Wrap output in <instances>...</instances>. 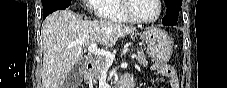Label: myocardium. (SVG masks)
Segmentation results:
<instances>
[{"mask_svg":"<svg viewBox=\"0 0 227 88\" xmlns=\"http://www.w3.org/2000/svg\"><path fill=\"white\" fill-rule=\"evenodd\" d=\"M132 1L133 0H124L123 5H122V8H123L125 15L129 18V20L131 22L136 23V24H151V23L156 22L160 18L161 13H162V7H161V1L160 0H154L156 5H157V8H158V13L152 19H138V18H136L131 11Z\"/></svg>","mask_w":227,"mask_h":88,"instance_id":"obj_1","label":"myocardium"}]
</instances>
